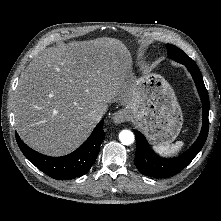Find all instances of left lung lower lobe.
Instances as JSON below:
<instances>
[{"label":"left lung lower lobe","mask_w":221,"mask_h":221,"mask_svg":"<svg viewBox=\"0 0 221 221\" xmlns=\"http://www.w3.org/2000/svg\"><path fill=\"white\" fill-rule=\"evenodd\" d=\"M189 72L191 73L198 92L201 97L203 105V126L198 139L190 147L188 151L183 153L177 158L165 159L159 157L150 148L146 138L138 130H134L136 137V154H135V165L137 169L144 175L150 177H168L180 172L184 169L193 158L202 149L207 136H208V113H209V98L207 90L205 88L201 73L196 63L190 62L184 64Z\"/></svg>","instance_id":"0a47b994"}]
</instances>
